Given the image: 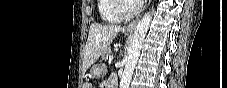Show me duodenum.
<instances>
[{
	"instance_id": "410a0bca",
	"label": "duodenum",
	"mask_w": 227,
	"mask_h": 88,
	"mask_svg": "<svg viewBox=\"0 0 227 88\" xmlns=\"http://www.w3.org/2000/svg\"><path fill=\"white\" fill-rule=\"evenodd\" d=\"M117 85V80L113 81V86L115 87Z\"/></svg>"
}]
</instances>
